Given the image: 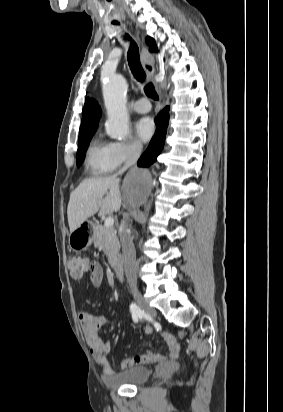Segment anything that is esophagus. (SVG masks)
<instances>
[{
  "label": "esophagus",
  "instance_id": "esophagus-1",
  "mask_svg": "<svg viewBox=\"0 0 283 412\" xmlns=\"http://www.w3.org/2000/svg\"><path fill=\"white\" fill-rule=\"evenodd\" d=\"M141 60L142 64L144 67V70L148 74L149 77H153L155 73V68H154V63L153 61L148 57V52L146 48H142L141 51Z\"/></svg>",
  "mask_w": 283,
  "mask_h": 412
}]
</instances>
